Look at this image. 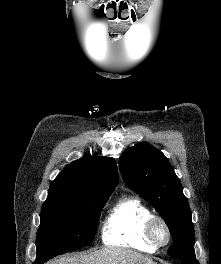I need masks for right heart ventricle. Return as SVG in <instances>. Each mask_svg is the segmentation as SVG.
<instances>
[{"mask_svg":"<svg viewBox=\"0 0 221 264\" xmlns=\"http://www.w3.org/2000/svg\"><path fill=\"white\" fill-rule=\"evenodd\" d=\"M151 215L150 209L141 199L122 196L104 219L101 232L103 243L146 253L155 252L157 248L145 234V225Z\"/></svg>","mask_w":221,"mask_h":264,"instance_id":"1","label":"right heart ventricle"}]
</instances>
